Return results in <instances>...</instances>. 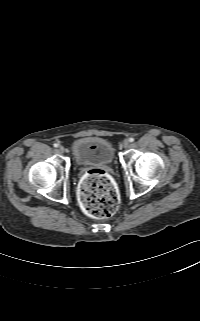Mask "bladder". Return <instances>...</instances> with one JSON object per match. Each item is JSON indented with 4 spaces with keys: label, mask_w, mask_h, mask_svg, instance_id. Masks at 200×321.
<instances>
[{
    "label": "bladder",
    "mask_w": 200,
    "mask_h": 321,
    "mask_svg": "<svg viewBox=\"0 0 200 321\" xmlns=\"http://www.w3.org/2000/svg\"><path fill=\"white\" fill-rule=\"evenodd\" d=\"M71 152L79 165H108L115 159L113 144L102 137L79 138L72 144Z\"/></svg>",
    "instance_id": "bladder-1"
}]
</instances>
